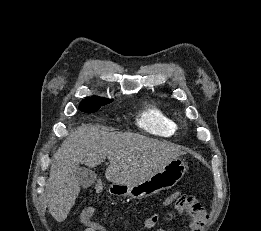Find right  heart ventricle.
<instances>
[{"label":"right heart ventricle","instance_id":"1","mask_svg":"<svg viewBox=\"0 0 261 231\" xmlns=\"http://www.w3.org/2000/svg\"><path fill=\"white\" fill-rule=\"evenodd\" d=\"M137 125L148 133L161 137H171L177 132L173 116L156 104H148L139 111Z\"/></svg>","mask_w":261,"mask_h":231}]
</instances>
